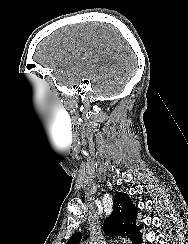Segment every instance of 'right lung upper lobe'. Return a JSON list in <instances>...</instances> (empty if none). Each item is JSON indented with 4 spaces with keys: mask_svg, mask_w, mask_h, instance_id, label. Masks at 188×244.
I'll return each mask as SVG.
<instances>
[{
    "mask_svg": "<svg viewBox=\"0 0 188 244\" xmlns=\"http://www.w3.org/2000/svg\"><path fill=\"white\" fill-rule=\"evenodd\" d=\"M137 208L132 203L129 195L118 192L114 197L113 211L104 221V232L106 235L126 236L132 244L142 235L139 230L142 227L136 226ZM81 233L76 232L66 244H78Z\"/></svg>",
    "mask_w": 188,
    "mask_h": 244,
    "instance_id": "right-lung-upper-lobe-1",
    "label": "right lung upper lobe"
}]
</instances>
